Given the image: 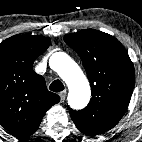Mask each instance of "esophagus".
<instances>
[{
  "mask_svg": "<svg viewBox=\"0 0 142 142\" xmlns=\"http://www.w3.org/2000/svg\"><path fill=\"white\" fill-rule=\"evenodd\" d=\"M66 93H67L66 90L61 91V92L59 93L61 102H63V101L65 100Z\"/></svg>",
  "mask_w": 142,
  "mask_h": 142,
  "instance_id": "1",
  "label": "esophagus"
}]
</instances>
